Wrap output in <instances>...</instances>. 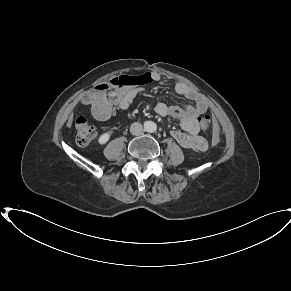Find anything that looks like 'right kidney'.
Segmentation results:
<instances>
[{"label": "right kidney", "mask_w": 291, "mask_h": 291, "mask_svg": "<svg viewBox=\"0 0 291 291\" xmlns=\"http://www.w3.org/2000/svg\"><path fill=\"white\" fill-rule=\"evenodd\" d=\"M111 134H112V131H108V132L102 134L98 139V143L101 145L107 143L108 140L110 139Z\"/></svg>", "instance_id": "1"}]
</instances>
